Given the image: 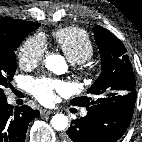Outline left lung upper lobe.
I'll use <instances>...</instances> for the list:
<instances>
[{"label": "left lung upper lobe", "mask_w": 142, "mask_h": 142, "mask_svg": "<svg viewBox=\"0 0 142 142\" xmlns=\"http://www.w3.org/2000/svg\"><path fill=\"white\" fill-rule=\"evenodd\" d=\"M101 54L102 72L88 89V96L77 97L71 104L89 107L114 101H136L135 75L122 42L101 26L94 28Z\"/></svg>", "instance_id": "obj_1"}]
</instances>
